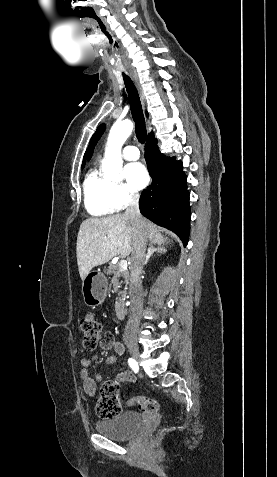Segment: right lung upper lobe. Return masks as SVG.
Returning <instances> with one entry per match:
<instances>
[{"instance_id":"1","label":"right lung upper lobe","mask_w":277,"mask_h":477,"mask_svg":"<svg viewBox=\"0 0 277 477\" xmlns=\"http://www.w3.org/2000/svg\"><path fill=\"white\" fill-rule=\"evenodd\" d=\"M152 137H154V134H153V133H151V134L148 135V139H149V138H152ZM85 157H86V154H85V156H84L82 168L84 167V164H85Z\"/></svg>"}]
</instances>
